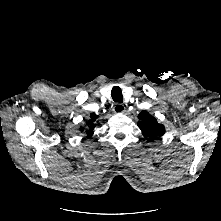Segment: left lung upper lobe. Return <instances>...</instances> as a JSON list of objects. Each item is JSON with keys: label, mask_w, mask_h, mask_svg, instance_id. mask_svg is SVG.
Returning <instances> with one entry per match:
<instances>
[{"label": "left lung upper lobe", "mask_w": 221, "mask_h": 221, "mask_svg": "<svg viewBox=\"0 0 221 221\" xmlns=\"http://www.w3.org/2000/svg\"><path fill=\"white\" fill-rule=\"evenodd\" d=\"M138 118L140 119L138 127L149 142L161 137L165 133L164 126L158 123L156 118L150 115L147 111L140 112Z\"/></svg>", "instance_id": "left-lung-upper-lobe-1"}]
</instances>
